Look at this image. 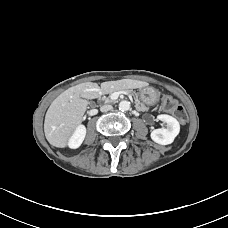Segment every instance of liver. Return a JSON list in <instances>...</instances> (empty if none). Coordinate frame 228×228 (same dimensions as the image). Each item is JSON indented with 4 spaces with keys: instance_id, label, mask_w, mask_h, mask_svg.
<instances>
[{
    "instance_id": "6515ba94",
    "label": "liver",
    "mask_w": 228,
    "mask_h": 228,
    "mask_svg": "<svg viewBox=\"0 0 228 228\" xmlns=\"http://www.w3.org/2000/svg\"><path fill=\"white\" fill-rule=\"evenodd\" d=\"M125 83H128L131 88L148 86V82L137 80L105 82L102 83L101 88L97 83L85 82L62 92L51 103L45 115L44 133L47 141L58 148L66 147L83 121L88 106L86 99H95L102 93L121 89Z\"/></svg>"
}]
</instances>
